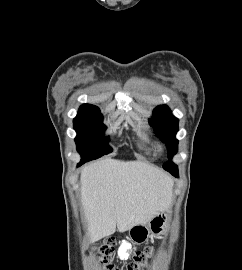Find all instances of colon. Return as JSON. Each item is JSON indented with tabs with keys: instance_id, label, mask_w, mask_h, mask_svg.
<instances>
[{
	"instance_id": "5ec220e1",
	"label": "colon",
	"mask_w": 242,
	"mask_h": 270,
	"mask_svg": "<svg viewBox=\"0 0 242 270\" xmlns=\"http://www.w3.org/2000/svg\"><path fill=\"white\" fill-rule=\"evenodd\" d=\"M116 242L114 238H105L100 242L97 247V253L99 255L100 265L104 270H118L117 267L112 263L111 257L114 253ZM154 249L151 247L145 248L144 250L135 253L133 261L129 263L126 270H145L147 269L148 262Z\"/></svg>"
}]
</instances>
